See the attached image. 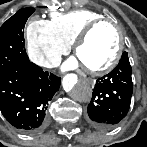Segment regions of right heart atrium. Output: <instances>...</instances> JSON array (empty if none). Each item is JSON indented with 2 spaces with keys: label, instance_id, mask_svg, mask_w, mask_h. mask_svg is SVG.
Masks as SVG:
<instances>
[{
  "label": "right heart atrium",
  "instance_id": "1",
  "mask_svg": "<svg viewBox=\"0 0 147 147\" xmlns=\"http://www.w3.org/2000/svg\"><path fill=\"white\" fill-rule=\"evenodd\" d=\"M27 51L37 65L51 68L57 64L68 45L53 34L49 21L33 18L26 29Z\"/></svg>",
  "mask_w": 147,
  "mask_h": 147
}]
</instances>
